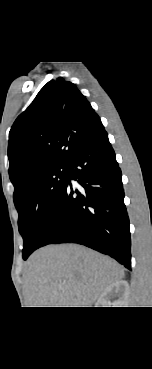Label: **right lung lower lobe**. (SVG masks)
I'll return each instance as SVG.
<instances>
[{
  "label": "right lung lower lobe",
  "mask_w": 152,
  "mask_h": 369,
  "mask_svg": "<svg viewBox=\"0 0 152 369\" xmlns=\"http://www.w3.org/2000/svg\"><path fill=\"white\" fill-rule=\"evenodd\" d=\"M68 182L39 247L73 242L107 254L131 270L129 218L121 171L102 130L74 154ZM77 181L79 189L70 180Z\"/></svg>",
  "instance_id": "right-lung-lower-lobe-1"
}]
</instances>
